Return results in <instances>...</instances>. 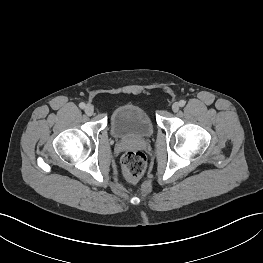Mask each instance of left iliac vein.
Masks as SVG:
<instances>
[{
    "instance_id": "1",
    "label": "left iliac vein",
    "mask_w": 263,
    "mask_h": 263,
    "mask_svg": "<svg viewBox=\"0 0 263 263\" xmlns=\"http://www.w3.org/2000/svg\"><path fill=\"white\" fill-rule=\"evenodd\" d=\"M179 109H180V105H179L178 102H175V103L172 104V110H173V112H178Z\"/></svg>"
}]
</instances>
